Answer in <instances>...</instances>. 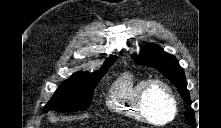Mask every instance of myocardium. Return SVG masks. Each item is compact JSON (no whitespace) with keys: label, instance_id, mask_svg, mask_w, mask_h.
Returning <instances> with one entry per match:
<instances>
[{"label":"myocardium","instance_id":"obj_1","mask_svg":"<svg viewBox=\"0 0 221 128\" xmlns=\"http://www.w3.org/2000/svg\"><path fill=\"white\" fill-rule=\"evenodd\" d=\"M154 88H159L165 93L172 108L171 116L163 123H156L146 109V99L150 91ZM135 103H136L137 112L140 115V117L143 120L153 124L167 125L174 120L177 114V102L175 95L171 87L161 79H149L144 81L141 87L137 91Z\"/></svg>","mask_w":221,"mask_h":128}]
</instances>
